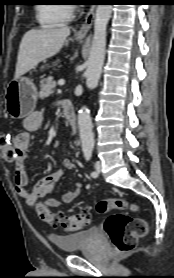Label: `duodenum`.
Masks as SVG:
<instances>
[{
	"instance_id": "obj_1",
	"label": "duodenum",
	"mask_w": 174,
	"mask_h": 278,
	"mask_svg": "<svg viewBox=\"0 0 174 278\" xmlns=\"http://www.w3.org/2000/svg\"><path fill=\"white\" fill-rule=\"evenodd\" d=\"M61 109H62L63 118L70 125L73 132H75L77 129V118H76V114H75L73 105L69 101L64 100L61 103Z\"/></svg>"
}]
</instances>
